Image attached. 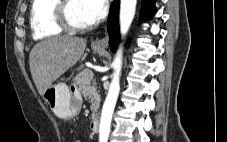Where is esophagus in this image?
<instances>
[{
  "label": "esophagus",
  "mask_w": 227,
  "mask_h": 142,
  "mask_svg": "<svg viewBox=\"0 0 227 142\" xmlns=\"http://www.w3.org/2000/svg\"><path fill=\"white\" fill-rule=\"evenodd\" d=\"M109 44V37L108 35H105L103 38L101 39H96L93 43L92 46L99 48V49H105L108 47Z\"/></svg>",
  "instance_id": "34e87169"
}]
</instances>
